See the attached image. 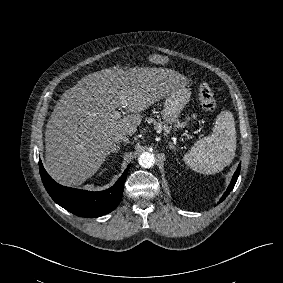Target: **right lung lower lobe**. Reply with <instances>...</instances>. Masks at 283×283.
<instances>
[{
	"instance_id": "98d812e1",
	"label": "right lung lower lobe",
	"mask_w": 283,
	"mask_h": 283,
	"mask_svg": "<svg viewBox=\"0 0 283 283\" xmlns=\"http://www.w3.org/2000/svg\"><path fill=\"white\" fill-rule=\"evenodd\" d=\"M39 170L47 192L58 205L77 216L93 218L107 214L118 206L129 166L111 188L99 192L74 189L58 184L48 175L41 160Z\"/></svg>"
}]
</instances>
